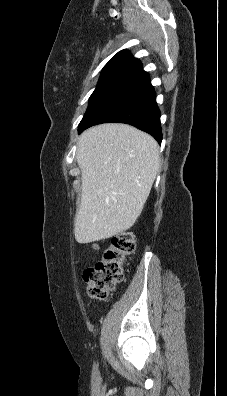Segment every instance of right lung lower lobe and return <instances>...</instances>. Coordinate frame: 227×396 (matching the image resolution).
<instances>
[{"mask_svg": "<svg viewBox=\"0 0 227 396\" xmlns=\"http://www.w3.org/2000/svg\"><path fill=\"white\" fill-rule=\"evenodd\" d=\"M126 123L152 135L160 144V111L149 74L134 72L79 124V133L101 123Z\"/></svg>", "mask_w": 227, "mask_h": 396, "instance_id": "right-lung-lower-lobe-1", "label": "right lung lower lobe"}]
</instances>
